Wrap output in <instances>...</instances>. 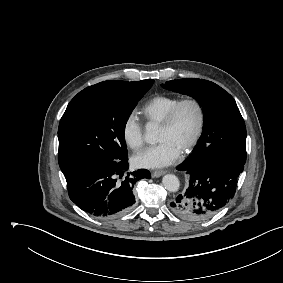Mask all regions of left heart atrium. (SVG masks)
Returning <instances> with one entry per match:
<instances>
[{
	"instance_id": "left-heart-atrium-1",
	"label": "left heart atrium",
	"mask_w": 283,
	"mask_h": 283,
	"mask_svg": "<svg viewBox=\"0 0 283 283\" xmlns=\"http://www.w3.org/2000/svg\"><path fill=\"white\" fill-rule=\"evenodd\" d=\"M181 150L169 141L149 146L133 156V163L141 168H161L174 163L180 156Z\"/></svg>"
}]
</instances>
